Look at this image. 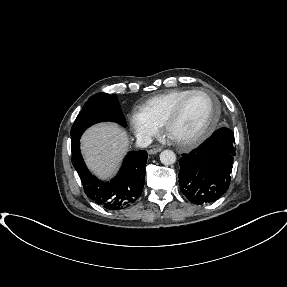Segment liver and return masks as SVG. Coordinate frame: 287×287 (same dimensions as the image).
<instances>
[{"label":"liver","instance_id":"6515ba94","mask_svg":"<svg viewBox=\"0 0 287 287\" xmlns=\"http://www.w3.org/2000/svg\"><path fill=\"white\" fill-rule=\"evenodd\" d=\"M128 147L127 132L114 123L94 125L81 138L87 166L102 179H109L117 172Z\"/></svg>","mask_w":287,"mask_h":287}]
</instances>
